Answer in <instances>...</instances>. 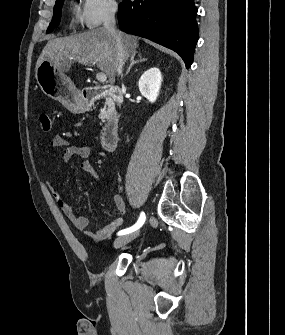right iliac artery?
Returning <instances> with one entry per match:
<instances>
[{
  "mask_svg": "<svg viewBox=\"0 0 285 335\" xmlns=\"http://www.w3.org/2000/svg\"><path fill=\"white\" fill-rule=\"evenodd\" d=\"M145 219H146L145 213L141 212L140 217H139L137 223L135 225H133L132 227H130V228H127V229L119 231L118 235H125V234L131 233V232L139 229L144 224Z\"/></svg>",
  "mask_w": 285,
  "mask_h": 335,
  "instance_id": "82829eb1",
  "label": "right iliac artery"
}]
</instances>
